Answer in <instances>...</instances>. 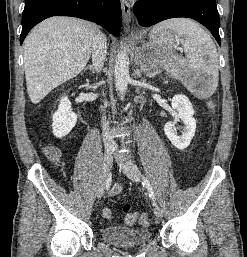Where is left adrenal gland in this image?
<instances>
[{
    "label": "left adrenal gland",
    "mask_w": 247,
    "mask_h": 257,
    "mask_svg": "<svg viewBox=\"0 0 247 257\" xmlns=\"http://www.w3.org/2000/svg\"><path fill=\"white\" fill-rule=\"evenodd\" d=\"M160 73H161V71L159 69H157L156 71L154 70V71H151V72H147L146 76L149 77V78H153Z\"/></svg>",
    "instance_id": "left-adrenal-gland-1"
}]
</instances>
